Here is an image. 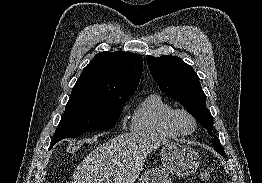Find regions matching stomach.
Returning a JSON list of instances; mask_svg holds the SVG:
<instances>
[{"label": "stomach", "mask_w": 262, "mask_h": 183, "mask_svg": "<svg viewBox=\"0 0 262 183\" xmlns=\"http://www.w3.org/2000/svg\"><path fill=\"white\" fill-rule=\"evenodd\" d=\"M163 168H153L145 172L137 183H172L169 174L187 176L199 166L198 153L188 146L167 142L161 149Z\"/></svg>", "instance_id": "1"}]
</instances>
